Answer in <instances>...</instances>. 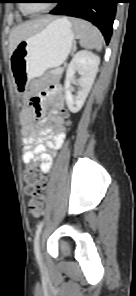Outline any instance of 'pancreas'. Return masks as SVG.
<instances>
[{
	"label": "pancreas",
	"mask_w": 136,
	"mask_h": 296,
	"mask_svg": "<svg viewBox=\"0 0 136 296\" xmlns=\"http://www.w3.org/2000/svg\"><path fill=\"white\" fill-rule=\"evenodd\" d=\"M56 72V70H50L49 72H48V74L49 75H52V74H54Z\"/></svg>",
	"instance_id": "1"
}]
</instances>
